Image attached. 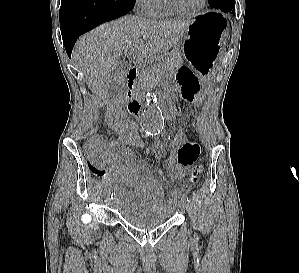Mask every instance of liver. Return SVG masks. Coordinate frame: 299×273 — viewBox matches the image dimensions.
Masks as SVG:
<instances>
[{
  "mask_svg": "<svg viewBox=\"0 0 299 273\" xmlns=\"http://www.w3.org/2000/svg\"><path fill=\"white\" fill-rule=\"evenodd\" d=\"M192 21H152L125 16L100 25L75 44L72 57L100 104L109 101V79L121 55L148 58L166 53L183 37Z\"/></svg>",
  "mask_w": 299,
  "mask_h": 273,
  "instance_id": "1",
  "label": "liver"
}]
</instances>
